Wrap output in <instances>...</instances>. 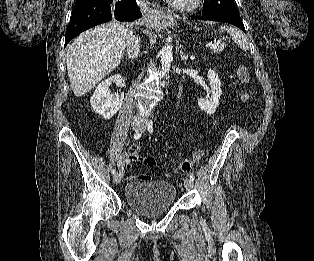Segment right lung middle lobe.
I'll return each mask as SVG.
<instances>
[{
  "label": "right lung middle lobe",
  "instance_id": "1",
  "mask_svg": "<svg viewBox=\"0 0 314 261\" xmlns=\"http://www.w3.org/2000/svg\"><path fill=\"white\" fill-rule=\"evenodd\" d=\"M81 1H83V0H77V2H81Z\"/></svg>",
  "mask_w": 314,
  "mask_h": 261
}]
</instances>
